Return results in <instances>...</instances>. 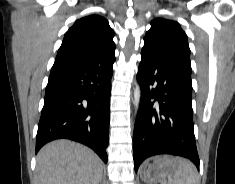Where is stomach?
Returning <instances> with one entry per match:
<instances>
[{"label": "stomach", "mask_w": 235, "mask_h": 184, "mask_svg": "<svg viewBox=\"0 0 235 184\" xmlns=\"http://www.w3.org/2000/svg\"><path fill=\"white\" fill-rule=\"evenodd\" d=\"M173 156H156L151 164H144L140 170V176L146 184H157L159 180H170L176 170V162Z\"/></svg>", "instance_id": "obj_1"}]
</instances>
